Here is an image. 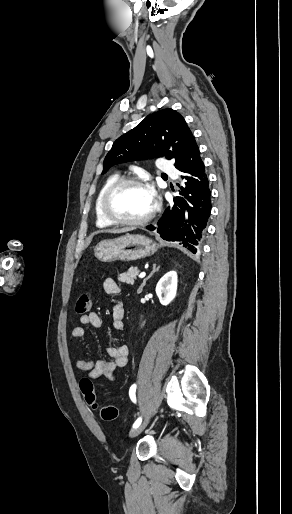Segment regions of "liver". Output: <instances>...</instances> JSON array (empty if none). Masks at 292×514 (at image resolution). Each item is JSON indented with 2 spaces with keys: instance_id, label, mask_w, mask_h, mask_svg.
Here are the masks:
<instances>
[{
  "instance_id": "6515ba94",
  "label": "liver",
  "mask_w": 292,
  "mask_h": 514,
  "mask_svg": "<svg viewBox=\"0 0 292 514\" xmlns=\"http://www.w3.org/2000/svg\"><path fill=\"white\" fill-rule=\"evenodd\" d=\"M104 232H110V234H122V232H131V228H121V230H104Z\"/></svg>"
}]
</instances>
